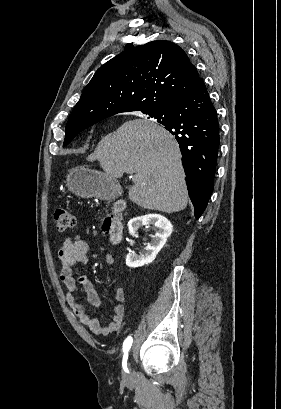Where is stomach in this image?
Returning a JSON list of instances; mask_svg holds the SVG:
<instances>
[{
	"label": "stomach",
	"mask_w": 281,
	"mask_h": 409,
	"mask_svg": "<svg viewBox=\"0 0 281 409\" xmlns=\"http://www.w3.org/2000/svg\"><path fill=\"white\" fill-rule=\"evenodd\" d=\"M66 182L69 190L82 198L97 196L101 200H111V198H117L121 190V184L117 178H111L105 172L84 168V166L69 170Z\"/></svg>",
	"instance_id": "0dacf381"
}]
</instances>
